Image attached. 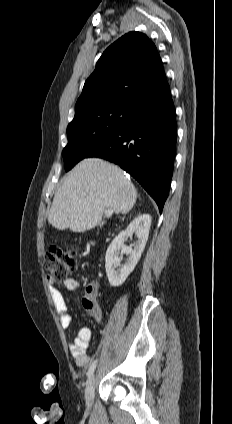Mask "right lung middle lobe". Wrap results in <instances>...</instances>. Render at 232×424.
Listing matches in <instances>:
<instances>
[{
  "label": "right lung middle lobe",
  "mask_w": 232,
  "mask_h": 424,
  "mask_svg": "<svg viewBox=\"0 0 232 424\" xmlns=\"http://www.w3.org/2000/svg\"><path fill=\"white\" fill-rule=\"evenodd\" d=\"M130 105L105 104L87 108L77 114L67 127L68 144L62 155L65 170L86 158L128 120Z\"/></svg>",
  "instance_id": "1"
}]
</instances>
